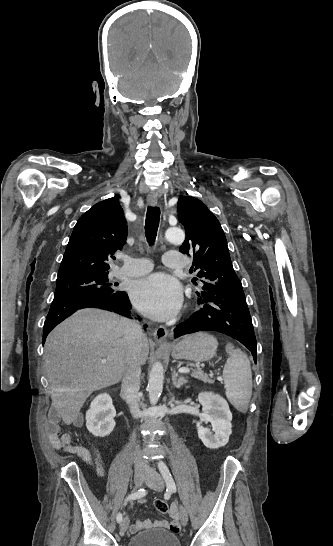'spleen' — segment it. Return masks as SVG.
Returning <instances> with one entry per match:
<instances>
[{"label":"spleen","mask_w":333,"mask_h":546,"mask_svg":"<svg viewBox=\"0 0 333 546\" xmlns=\"http://www.w3.org/2000/svg\"><path fill=\"white\" fill-rule=\"evenodd\" d=\"M229 357L223 370L226 396L240 412L245 413L252 395V372L247 355L229 343L226 345Z\"/></svg>","instance_id":"3e777b00"}]
</instances>
